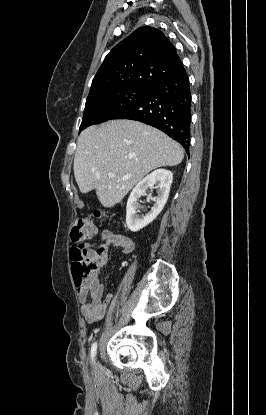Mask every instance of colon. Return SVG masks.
Wrapping results in <instances>:
<instances>
[{
    "label": "colon",
    "instance_id": "1",
    "mask_svg": "<svg viewBox=\"0 0 266 415\" xmlns=\"http://www.w3.org/2000/svg\"><path fill=\"white\" fill-rule=\"evenodd\" d=\"M101 213H96V218H101ZM97 234V228L91 217H79L75 220L71 230L73 242H81L93 238ZM71 264L74 281L77 286L82 285L91 275L98 273V263L90 261L85 249L76 245L71 249Z\"/></svg>",
    "mask_w": 266,
    "mask_h": 415
}]
</instances>
